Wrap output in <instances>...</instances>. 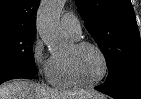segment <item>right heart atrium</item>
<instances>
[{
    "instance_id": "right-heart-atrium-1",
    "label": "right heart atrium",
    "mask_w": 141,
    "mask_h": 99,
    "mask_svg": "<svg viewBox=\"0 0 141 99\" xmlns=\"http://www.w3.org/2000/svg\"><path fill=\"white\" fill-rule=\"evenodd\" d=\"M32 60L38 73L46 80L50 79L53 67V57L49 56L43 42L37 38L32 46Z\"/></svg>"
}]
</instances>
